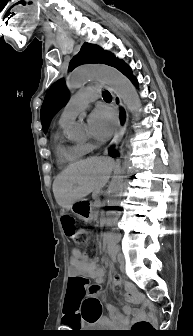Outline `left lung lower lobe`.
I'll return each mask as SVG.
<instances>
[{
	"label": "left lung lower lobe",
	"instance_id": "1",
	"mask_svg": "<svg viewBox=\"0 0 193 336\" xmlns=\"http://www.w3.org/2000/svg\"><path fill=\"white\" fill-rule=\"evenodd\" d=\"M111 66L115 67L120 72H122L126 77H128L137 86V80L132 75L131 69L122 60L115 58ZM124 116H125L124 111L121 110V120L122 121H124Z\"/></svg>",
	"mask_w": 193,
	"mask_h": 336
}]
</instances>
